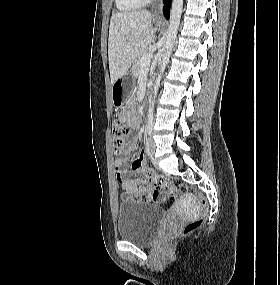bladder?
Instances as JSON below:
<instances>
[{
  "instance_id": "obj_1",
  "label": "bladder",
  "mask_w": 280,
  "mask_h": 285,
  "mask_svg": "<svg viewBox=\"0 0 280 285\" xmlns=\"http://www.w3.org/2000/svg\"><path fill=\"white\" fill-rule=\"evenodd\" d=\"M164 211L145 202H122L118 208L117 230L121 239L148 244L158 235Z\"/></svg>"
}]
</instances>
